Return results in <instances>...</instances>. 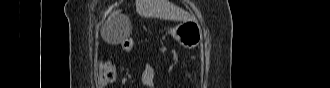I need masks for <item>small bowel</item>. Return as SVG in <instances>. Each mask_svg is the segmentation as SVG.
<instances>
[{
    "label": "small bowel",
    "instance_id": "obj_1",
    "mask_svg": "<svg viewBox=\"0 0 330 88\" xmlns=\"http://www.w3.org/2000/svg\"><path fill=\"white\" fill-rule=\"evenodd\" d=\"M155 75V69L150 63H145L142 73V82L148 87H153V78Z\"/></svg>",
    "mask_w": 330,
    "mask_h": 88
}]
</instances>
